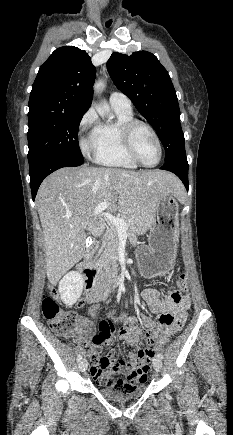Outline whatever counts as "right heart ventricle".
Returning <instances> with one entry per match:
<instances>
[{"instance_id":"obj_1","label":"right heart ventricle","mask_w":233,"mask_h":435,"mask_svg":"<svg viewBox=\"0 0 233 435\" xmlns=\"http://www.w3.org/2000/svg\"><path fill=\"white\" fill-rule=\"evenodd\" d=\"M117 119L100 123L94 134L96 161L102 166L136 169L138 165L128 156L121 137V127L134 119L132 110L113 106Z\"/></svg>"}]
</instances>
